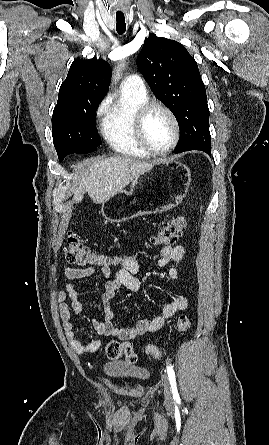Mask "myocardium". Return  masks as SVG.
<instances>
[{
	"label": "myocardium",
	"instance_id": "myocardium-1",
	"mask_svg": "<svg viewBox=\"0 0 269 445\" xmlns=\"http://www.w3.org/2000/svg\"><path fill=\"white\" fill-rule=\"evenodd\" d=\"M154 109H160L164 111L171 119L173 126H174V137L169 145V147L163 151H156L154 150L147 142L145 138L144 133V125L146 118L148 114L154 110ZM134 133L136 140L140 147L147 152L150 156L154 157H165L171 154L174 149L177 147L180 136H181V127L179 120L174 113V111L168 107L167 105L157 102V101H146L142 105L139 106V108L136 110L135 116H134Z\"/></svg>",
	"mask_w": 269,
	"mask_h": 445
}]
</instances>
